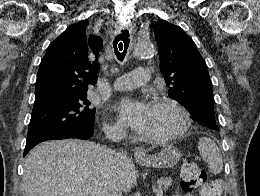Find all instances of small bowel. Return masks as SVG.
I'll list each match as a JSON object with an SVG mask.
<instances>
[{
    "mask_svg": "<svg viewBox=\"0 0 260 196\" xmlns=\"http://www.w3.org/2000/svg\"><path fill=\"white\" fill-rule=\"evenodd\" d=\"M184 194L177 193L176 196H183ZM186 196H189L188 194Z\"/></svg>",
    "mask_w": 260,
    "mask_h": 196,
    "instance_id": "small-bowel-1",
    "label": "small bowel"
}]
</instances>
